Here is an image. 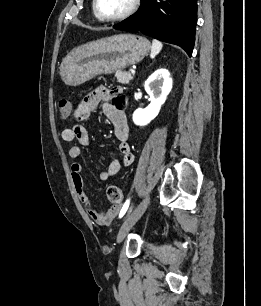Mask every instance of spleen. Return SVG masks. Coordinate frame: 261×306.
<instances>
[{"mask_svg": "<svg viewBox=\"0 0 261 306\" xmlns=\"http://www.w3.org/2000/svg\"><path fill=\"white\" fill-rule=\"evenodd\" d=\"M163 44L158 40L152 41L150 57L153 59L162 50Z\"/></svg>", "mask_w": 261, "mask_h": 306, "instance_id": "1", "label": "spleen"}]
</instances>
